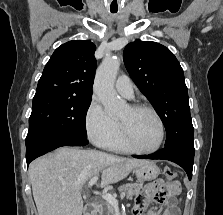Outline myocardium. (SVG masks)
<instances>
[{
    "label": "myocardium",
    "mask_w": 223,
    "mask_h": 215,
    "mask_svg": "<svg viewBox=\"0 0 223 215\" xmlns=\"http://www.w3.org/2000/svg\"><path fill=\"white\" fill-rule=\"evenodd\" d=\"M129 108L134 111L145 110V111H148L149 113H151L158 124L159 138H158V141L154 147H152L150 149H145V150L138 149L132 144L125 124L123 122L119 121V135H120V140L122 141V143L125 145V147L127 148L128 151L136 153V154H148V153H154V152L158 151L163 143L165 132H164L163 121L160 118L157 111L153 107H151L150 105H148L146 103L133 104V105H130Z\"/></svg>",
    "instance_id": "f54148a6"
}]
</instances>
